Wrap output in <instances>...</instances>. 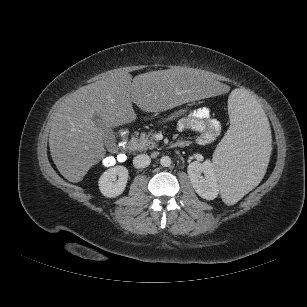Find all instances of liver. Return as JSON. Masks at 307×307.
Returning a JSON list of instances; mask_svg holds the SVG:
<instances>
[{"instance_id": "6515ba94", "label": "liver", "mask_w": 307, "mask_h": 307, "mask_svg": "<svg viewBox=\"0 0 307 307\" xmlns=\"http://www.w3.org/2000/svg\"><path fill=\"white\" fill-rule=\"evenodd\" d=\"M226 91L223 82L193 68L152 71L133 79L124 71L110 72L76 90L55 112L49 134L54 164L64 178L77 183L105 156L95 114L107 126L117 127L136 119L132 103L145 112H163Z\"/></svg>"}]
</instances>
